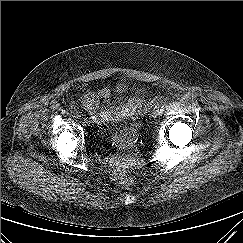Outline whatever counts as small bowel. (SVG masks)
I'll use <instances>...</instances> for the list:
<instances>
[{
	"label": "small bowel",
	"mask_w": 243,
	"mask_h": 243,
	"mask_svg": "<svg viewBox=\"0 0 243 243\" xmlns=\"http://www.w3.org/2000/svg\"><path fill=\"white\" fill-rule=\"evenodd\" d=\"M116 92L127 93V86L118 84ZM111 96L109 88L103 87L96 91L86 90L81 102L84 109L97 124H113L114 130L120 139L126 140L134 130L133 118L141 108V99L137 95L128 96L126 102L114 109H107L103 103Z\"/></svg>",
	"instance_id": "c3829d8e"
}]
</instances>
